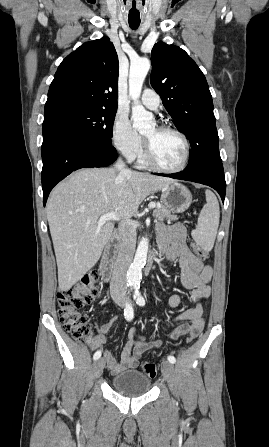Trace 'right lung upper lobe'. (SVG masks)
I'll use <instances>...</instances> for the list:
<instances>
[{"label": "right lung upper lobe", "instance_id": "obj_1", "mask_svg": "<svg viewBox=\"0 0 269 447\" xmlns=\"http://www.w3.org/2000/svg\"><path fill=\"white\" fill-rule=\"evenodd\" d=\"M119 62L108 37L86 42L59 65L44 114L60 107L117 108Z\"/></svg>", "mask_w": 269, "mask_h": 447}]
</instances>
